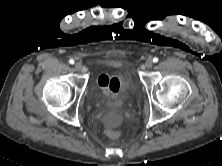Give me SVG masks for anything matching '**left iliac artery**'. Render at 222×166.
I'll list each match as a JSON object with an SVG mask.
<instances>
[{"label":"left iliac artery","mask_w":222,"mask_h":166,"mask_svg":"<svg viewBox=\"0 0 222 166\" xmlns=\"http://www.w3.org/2000/svg\"><path fill=\"white\" fill-rule=\"evenodd\" d=\"M153 62L157 63L158 62V58L157 57L153 58Z\"/></svg>","instance_id":"left-iliac-artery-1"}]
</instances>
